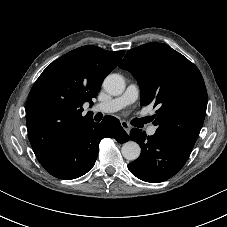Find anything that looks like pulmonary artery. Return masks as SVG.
Returning a JSON list of instances; mask_svg holds the SVG:
<instances>
[{
    "mask_svg": "<svg viewBox=\"0 0 227 227\" xmlns=\"http://www.w3.org/2000/svg\"><path fill=\"white\" fill-rule=\"evenodd\" d=\"M139 88L135 84H130L126 90L118 97L105 102L98 103L95 106V111L102 113H113L134 103L139 98ZM148 135L152 136L156 133V127L150 126L147 129Z\"/></svg>",
    "mask_w": 227,
    "mask_h": 227,
    "instance_id": "1",
    "label": "pulmonary artery"
}]
</instances>
